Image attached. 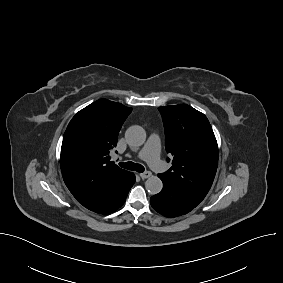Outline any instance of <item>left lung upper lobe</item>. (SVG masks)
Segmentation results:
<instances>
[{"mask_svg": "<svg viewBox=\"0 0 283 283\" xmlns=\"http://www.w3.org/2000/svg\"><path fill=\"white\" fill-rule=\"evenodd\" d=\"M172 167L158 174L198 205L207 195L218 166V145L206 116L186 104L158 108ZM170 159L168 158V162Z\"/></svg>", "mask_w": 283, "mask_h": 283, "instance_id": "obj_1", "label": "left lung upper lobe"}]
</instances>
